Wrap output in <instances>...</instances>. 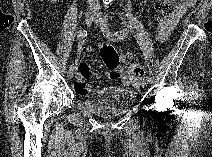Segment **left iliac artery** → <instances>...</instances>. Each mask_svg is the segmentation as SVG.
<instances>
[{"mask_svg":"<svg viewBox=\"0 0 212 157\" xmlns=\"http://www.w3.org/2000/svg\"><path fill=\"white\" fill-rule=\"evenodd\" d=\"M103 35L113 41H120L123 40L127 33L125 30H118L116 32H110L108 28H102ZM142 80H144L147 83L151 82V78L148 75H144Z\"/></svg>","mask_w":212,"mask_h":157,"instance_id":"left-iliac-artery-1","label":"left iliac artery"}]
</instances>
